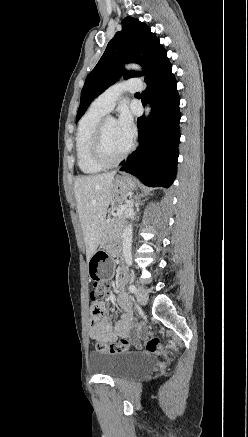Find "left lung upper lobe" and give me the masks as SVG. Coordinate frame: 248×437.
Masks as SVG:
<instances>
[{
    "label": "left lung upper lobe",
    "mask_w": 248,
    "mask_h": 437,
    "mask_svg": "<svg viewBox=\"0 0 248 437\" xmlns=\"http://www.w3.org/2000/svg\"><path fill=\"white\" fill-rule=\"evenodd\" d=\"M131 62L140 64L145 73L125 71L123 65ZM168 63L165 49L150 28L138 19L126 17L122 21V30L108 43L99 62L86 78L76 121L90 103L122 75L125 78L146 75L145 81H148Z\"/></svg>",
    "instance_id": "5c2ea615"
}]
</instances>
